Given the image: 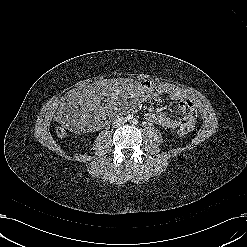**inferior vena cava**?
Segmentation results:
<instances>
[{"mask_svg":"<svg viewBox=\"0 0 247 247\" xmlns=\"http://www.w3.org/2000/svg\"><path fill=\"white\" fill-rule=\"evenodd\" d=\"M126 122H127L126 118L120 117L113 121V126L117 127V126L125 124Z\"/></svg>","mask_w":247,"mask_h":247,"instance_id":"1","label":"inferior vena cava"}]
</instances>
